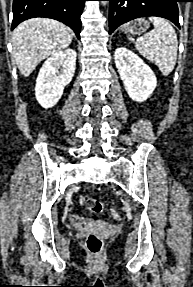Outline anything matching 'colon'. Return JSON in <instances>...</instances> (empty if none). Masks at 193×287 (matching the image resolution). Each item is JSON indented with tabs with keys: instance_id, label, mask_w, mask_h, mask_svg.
<instances>
[{
	"instance_id": "1",
	"label": "colon",
	"mask_w": 193,
	"mask_h": 287,
	"mask_svg": "<svg viewBox=\"0 0 193 287\" xmlns=\"http://www.w3.org/2000/svg\"><path fill=\"white\" fill-rule=\"evenodd\" d=\"M79 202L91 212L102 213L104 211V206L102 205V203L94 198L81 196L79 198ZM110 214L116 220H119L121 218L120 213L116 210H111ZM85 242L89 251L94 254L99 253L103 246L102 238L95 233H89L86 237Z\"/></svg>"
}]
</instances>
